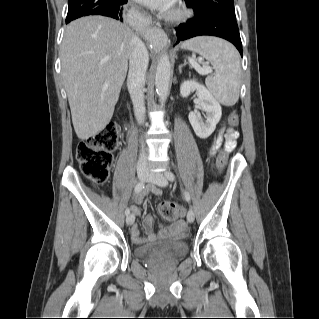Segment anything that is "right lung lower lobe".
Instances as JSON below:
<instances>
[{"label": "right lung lower lobe", "mask_w": 319, "mask_h": 319, "mask_svg": "<svg viewBox=\"0 0 319 319\" xmlns=\"http://www.w3.org/2000/svg\"><path fill=\"white\" fill-rule=\"evenodd\" d=\"M126 2L127 0H114L110 4L101 5L90 10L87 13L80 14L78 15V18L82 16H88V15H103V16L112 17L122 21L123 7H121V5ZM69 22L70 21H66V23H69Z\"/></svg>", "instance_id": "obj_1"}]
</instances>
